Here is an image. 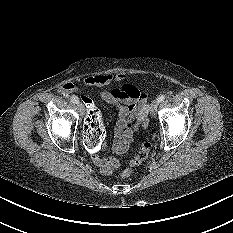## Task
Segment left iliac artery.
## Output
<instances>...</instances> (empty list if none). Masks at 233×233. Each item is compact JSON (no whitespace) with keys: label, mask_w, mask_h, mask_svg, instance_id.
I'll return each mask as SVG.
<instances>
[{"label":"left iliac artery","mask_w":233,"mask_h":233,"mask_svg":"<svg viewBox=\"0 0 233 233\" xmlns=\"http://www.w3.org/2000/svg\"><path fill=\"white\" fill-rule=\"evenodd\" d=\"M164 99H165V96H164V95H160V96L157 98L158 102H162Z\"/></svg>","instance_id":"1"}]
</instances>
